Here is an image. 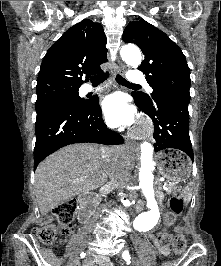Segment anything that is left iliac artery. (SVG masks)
I'll list each match as a JSON object with an SVG mask.
<instances>
[{
	"label": "left iliac artery",
	"mask_w": 221,
	"mask_h": 266,
	"mask_svg": "<svg viewBox=\"0 0 221 266\" xmlns=\"http://www.w3.org/2000/svg\"><path fill=\"white\" fill-rule=\"evenodd\" d=\"M122 257L127 260L130 258V255H129V252L128 251H124L123 254H122Z\"/></svg>",
	"instance_id": "obj_1"
}]
</instances>
